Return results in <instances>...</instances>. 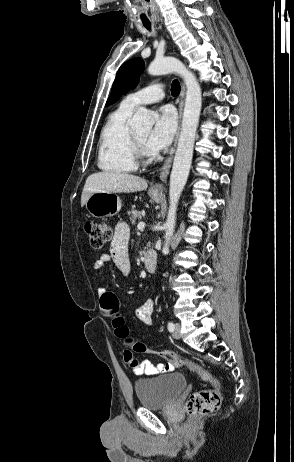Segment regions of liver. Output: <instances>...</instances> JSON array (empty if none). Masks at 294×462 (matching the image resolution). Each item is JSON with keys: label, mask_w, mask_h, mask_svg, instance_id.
I'll return each mask as SVG.
<instances>
[{"label": "liver", "mask_w": 294, "mask_h": 462, "mask_svg": "<svg viewBox=\"0 0 294 462\" xmlns=\"http://www.w3.org/2000/svg\"><path fill=\"white\" fill-rule=\"evenodd\" d=\"M146 180L123 172L104 171L90 175L81 195L83 207L89 196L95 192L131 193L147 189Z\"/></svg>", "instance_id": "liver-1"}]
</instances>
